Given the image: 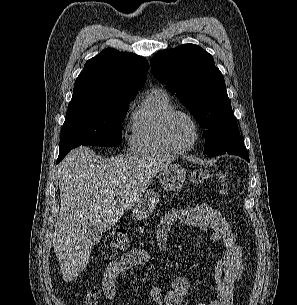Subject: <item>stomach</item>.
Here are the masks:
<instances>
[{
    "mask_svg": "<svg viewBox=\"0 0 297 305\" xmlns=\"http://www.w3.org/2000/svg\"><path fill=\"white\" fill-rule=\"evenodd\" d=\"M159 182L164 190L173 192L182 188L186 178V170L178 164H170L159 171ZM159 201L158 194L149 190L138 202L133 210V217L136 220L146 219L155 209Z\"/></svg>",
    "mask_w": 297,
    "mask_h": 305,
    "instance_id": "0dacf381",
    "label": "stomach"
}]
</instances>
